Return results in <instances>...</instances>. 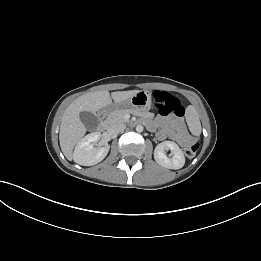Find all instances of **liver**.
I'll return each instance as SVG.
<instances>
[{"mask_svg":"<svg viewBox=\"0 0 261 261\" xmlns=\"http://www.w3.org/2000/svg\"><path fill=\"white\" fill-rule=\"evenodd\" d=\"M139 90L112 92L97 91L87 93L73 101L65 110L60 124L59 142L60 147L68 160H72V151L74 146L82 139L86 133V127L80 119V113L83 111L93 114L102 108L114 103H121L128 100Z\"/></svg>","mask_w":261,"mask_h":261,"instance_id":"1","label":"liver"}]
</instances>
